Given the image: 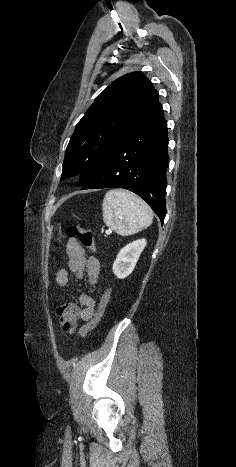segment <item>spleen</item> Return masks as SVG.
Masks as SVG:
<instances>
[{
    "instance_id": "spleen-1",
    "label": "spleen",
    "mask_w": 236,
    "mask_h": 467,
    "mask_svg": "<svg viewBox=\"0 0 236 467\" xmlns=\"http://www.w3.org/2000/svg\"><path fill=\"white\" fill-rule=\"evenodd\" d=\"M102 210L104 223L121 236L135 234L153 221V212L148 204L125 190L108 191Z\"/></svg>"
}]
</instances>
